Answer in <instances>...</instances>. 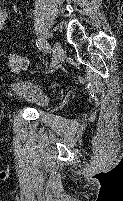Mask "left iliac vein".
<instances>
[{"label": "left iliac vein", "mask_w": 123, "mask_h": 201, "mask_svg": "<svg viewBox=\"0 0 123 201\" xmlns=\"http://www.w3.org/2000/svg\"><path fill=\"white\" fill-rule=\"evenodd\" d=\"M53 64L56 65L64 60V52L59 42H54L52 47Z\"/></svg>", "instance_id": "1"}]
</instances>
